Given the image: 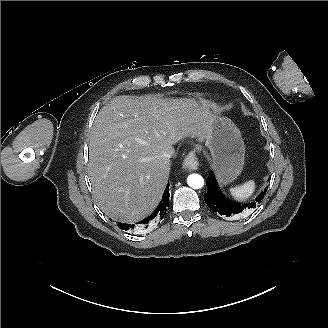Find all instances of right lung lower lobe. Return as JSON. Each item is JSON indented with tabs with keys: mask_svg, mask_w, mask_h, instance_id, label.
Segmentation results:
<instances>
[{
	"mask_svg": "<svg viewBox=\"0 0 328 328\" xmlns=\"http://www.w3.org/2000/svg\"><path fill=\"white\" fill-rule=\"evenodd\" d=\"M168 186L166 187V189L163 193L162 200L160 201L156 210L150 216H148L147 218H145L144 220H142L138 223L139 228L146 229V228H148V226L150 224H153V223L157 222L159 219H162L164 217V215L166 213L167 205L169 203V197H170ZM135 226H136L135 224L118 223V227L120 229L126 230V231L129 229L135 228Z\"/></svg>",
	"mask_w": 328,
	"mask_h": 328,
	"instance_id": "98d812e1",
	"label": "right lung lower lobe"
}]
</instances>
